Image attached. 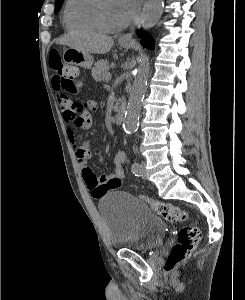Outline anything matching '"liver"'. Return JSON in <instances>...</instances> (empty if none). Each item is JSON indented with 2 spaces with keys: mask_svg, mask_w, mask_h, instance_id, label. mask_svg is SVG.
I'll use <instances>...</instances> for the list:
<instances>
[{
  "mask_svg": "<svg viewBox=\"0 0 245 300\" xmlns=\"http://www.w3.org/2000/svg\"><path fill=\"white\" fill-rule=\"evenodd\" d=\"M57 43L86 53L105 54L112 48L114 40L100 34H70L61 37Z\"/></svg>",
  "mask_w": 245,
  "mask_h": 300,
  "instance_id": "6515ba94",
  "label": "liver"
}]
</instances>
